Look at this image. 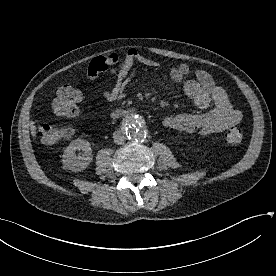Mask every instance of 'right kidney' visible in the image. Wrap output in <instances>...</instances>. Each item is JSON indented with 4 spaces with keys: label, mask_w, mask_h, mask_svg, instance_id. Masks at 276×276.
<instances>
[{
    "label": "right kidney",
    "mask_w": 276,
    "mask_h": 276,
    "mask_svg": "<svg viewBox=\"0 0 276 276\" xmlns=\"http://www.w3.org/2000/svg\"><path fill=\"white\" fill-rule=\"evenodd\" d=\"M76 151H82L76 155ZM63 165L72 171L85 170L93 159L90 143L87 140L76 139L64 150Z\"/></svg>",
    "instance_id": "1"
}]
</instances>
